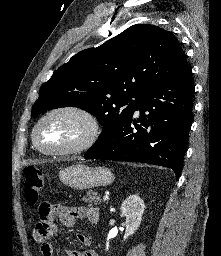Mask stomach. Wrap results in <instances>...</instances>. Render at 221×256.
<instances>
[{
    "label": "stomach",
    "instance_id": "stomach-1",
    "mask_svg": "<svg viewBox=\"0 0 221 256\" xmlns=\"http://www.w3.org/2000/svg\"><path fill=\"white\" fill-rule=\"evenodd\" d=\"M59 179L73 189L84 190L110 185L114 181V175L105 167L91 168L76 164L60 170Z\"/></svg>",
    "mask_w": 221,
    "mask_h": 256
}]
</instances>
